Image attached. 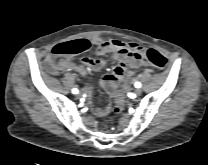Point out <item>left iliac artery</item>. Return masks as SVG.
<instances>
[{
	"mask_svg": "<svg viewBox=\"0 0 208 165\" xmlns=\"http://www.w3.org/2000/svg\"><path fill=\"white\" fill-rule=\"evenodd\" d=\"M135 87H136V88H140V87H141V83H140V82H136V83H135Z\"/></svg>",
	"mask_w": 208,
	"mask_h": 165,
	"instance_id": "1",
	"label": "left iliac artery"
}]
</instances>
